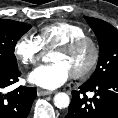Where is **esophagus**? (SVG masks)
<instances>
[{
  "mask_svg": "<svg viewBox=\"0 0 118 118\" xmlns=\"http://www.w3.org/2000/svg\"><path fill=\"white\" fill-rule=\"evenodd\" d=\"M37 94H38V96H47V95L53 94V92L52 91H46V90L38 89L37 90Z\"/></svg>",
  "mask_w": 118,
  "mask_h": 118,
  "instance_id": "esophagus-1",
  "label": "esophagus"
}]
</instances>
